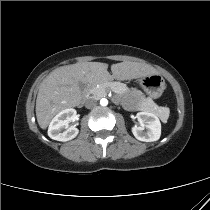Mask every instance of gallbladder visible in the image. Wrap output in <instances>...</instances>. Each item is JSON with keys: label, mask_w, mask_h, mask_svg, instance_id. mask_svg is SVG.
Masks as SVG:
<instances>
[{"label": "gallbladder", "mask_w": 210, "mask_h": 210, "mask_svg": "<svg viewBox=\"0 0 210 210\" xmlns=\"http://www.w3.org/2000/svg\"><path fill=\"white\" fill-rule=\"evenodd\" d=\"M79 87L81 90H84L86 88V85L82 82H79Z\"/></svg>", "instance_id": "gallbladder-1"}]
</instances>
